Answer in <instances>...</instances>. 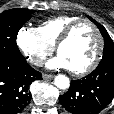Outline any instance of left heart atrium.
Returning a JSON list of instances; mask_svg holds the SVG:
<instances>
[{"label": "left heart atrium", "instance_id": "left-heart-atrium-1", "mask_svg": "<svg viewBox=\"0 0 114 114\" xmlns=\"http://www.w3.org/2000/svg\"><path fill=\"white\" fill-rule=\"evenodd\" d=\"M47 67L50 69H57V68L70 69L68 62L60 54H58L56 57L48 61Z\"/></svg>", "mask_w": 114, "mask_h": 114}]
</instances>
